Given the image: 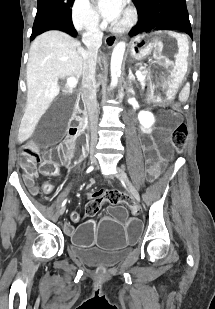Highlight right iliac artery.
<instances>
[{"label": "right iliac artery", "instance_id": "1", "mask_svg": "<svg viewBox=\"0 0 215 309\" xmlns=\"http://www.w3.org/2000/svg\"><path fill=\"white\" fill-rule=\"evenodd\" d=\"M92 170H93V167H92V166L88 168V171H89V172L92 171ZM66 202H67V199H65V200L63 201L62 207L65 206Z\"/></svg>", "mask_w": 215, "mask_h": 309}]
</instances>
